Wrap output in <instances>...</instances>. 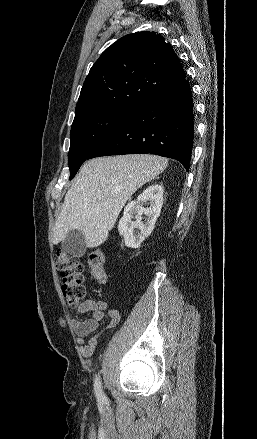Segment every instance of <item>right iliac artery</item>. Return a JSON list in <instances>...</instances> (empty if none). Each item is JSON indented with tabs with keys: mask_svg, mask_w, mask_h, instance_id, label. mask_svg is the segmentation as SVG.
Here are the masks:
<instances>
[{
	"mask_svg": "<svg viewBox=\"0 0 257 439\" xmlns=\"http://www.w3.org/2000/svg\"><path fill=\"white\" fill-rule=\"evenodd\" d=\"M94 390H95V394H96L98 401L103 402L106 399V397L101 389L100 377H96V379H95Z\"/></svg>",
	"mask_w": 257,
	"mask_h": 439,
	"instance_id": "obj_1",
	"label": "right iliac artery"
}]
</instances>
